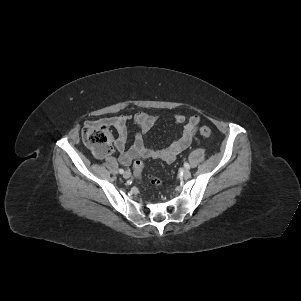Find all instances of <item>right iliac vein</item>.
<instances>
[{
	"mask_svg": "<svg viewBox=\"0 0 301 301\" xmlns=\"http://www.w3.org/2000/svg\"><path fill=\"white\" fill-rule=\"evenodd\" d=\"M123 177H124L125 179L130 178V177H131V172H130V171H125V172L123 173Z\"/></svg>",
	"mask_w": 301,
	"mask_h": 301,
	"instance_id": "63e3f726",
	"label": "right iliac vein"
}]
</instances>
